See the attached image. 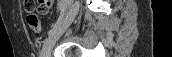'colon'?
<instances>
[{
    "instance_id": "obj_1",
    "label": "colon",
    "mask_w": 172,
    "mask_h": 57,
    "mask_svg": "<svg viewBox=\"0 0 172 57\" xmlns=\"http://www.w3.org/2000/svg\"><path fill=\"white\" fill-rule=\"evenodd\" d=\"M43 1L44 0L28 1L29 7L27 8V10L29 12V15L27 16V23H28L30 29L35 33H38L40 31L41 27H40L39 19H38L37 15L33 13V11H34L35 5L41 4Z\"/></svg>"
}]
</instances>
